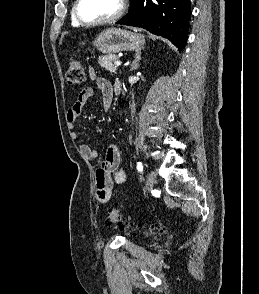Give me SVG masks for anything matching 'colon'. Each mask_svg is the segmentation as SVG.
I'll use <instances>...</instances> for the list:
<instances>
[{
  "instance_id": "5ec220e1",
  "label": "colon",
  "mask_w": 259,
  "mask_h": 294,
  "mask_svg": "<svg viewBox=\"0 0 259 294\" xmlns=\"http://www.w3.org/2000/svg\"><path fill=\"white\" fill-rule=\"evenodd\" d=\"M85 79L86 76L81 62L75 59L71 60L65 73L66 82L71 85H80ZM106 223L108 225H116L121 230L132 229L129 221L123 218L120 206L117 204L108 211ZM153 230H159V228L154 227Z\"/></svg>"
}]
</instances>
